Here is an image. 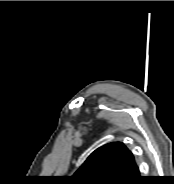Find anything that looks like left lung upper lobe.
Returning <instances> with one entry per match:
<instances>
[{"label":"left lung upper lobe","mask_w":174,"mask_h":184,"mask_svg":"<svg viewBox=\"0 0 174 184\" xmlns=\"http://www.w3.org/2000/svg\"><path fill=\"white\" fill-rule=\"evenodd\" d=\"M136 167L127 147L112 142L96 149L73 176L76 184H129Z\"/></svg>","instance_id":"obj_1"}]
</instances>
